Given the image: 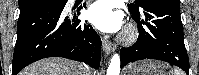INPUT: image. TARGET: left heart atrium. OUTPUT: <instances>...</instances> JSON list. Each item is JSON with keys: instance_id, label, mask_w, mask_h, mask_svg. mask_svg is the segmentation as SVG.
I'll return each mask as SVG.
<instances>
[{"instance_id": "39dd6f15", "label": "left heart atrium", "mask_w": 199, "mask_h": 75, "mask_svg": "<svg viewBox=\"0 0 199 75\" xmlns=\"http://www.w3.org/2000/svg\"><path fill=\"white\" fill-rule=\"evenodd\" d=\"M88 20L103 32H116L122 26V17L115 12L108 1H99L87 11Z\"/></svg>"}]
</instances>
